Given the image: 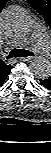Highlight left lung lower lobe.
<instances>
[{"instance_id": "1", "label": "left lung lower lobe", "mask_w": 51, "mask_h": 153, "mask_svg": "<svg viewBox=\"0 0 51 153\" xmlns=\"http://www.w3.org/2000/svg\"><path fill=\"white\" fill-rule=\"evenodd\" d=\"M41 84L45 86L47 89H51V76L47 79L40 80Z\"/></svg>"}]
</instances>
